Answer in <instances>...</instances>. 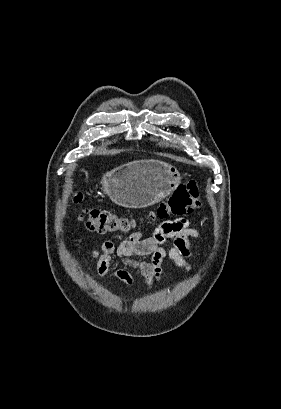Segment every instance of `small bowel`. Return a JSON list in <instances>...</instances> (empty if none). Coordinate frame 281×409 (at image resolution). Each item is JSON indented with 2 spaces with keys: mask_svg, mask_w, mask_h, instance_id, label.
I'll use <instances>...</instances> for the list:
<instances>
[{
  "mask_svg": "<svg viewBox=\"0 0 281 409\" xmlns=\"http://www.w3.org/2000/svg\"><path fill=\"white\" fill-rule=\"evenodd\" d=\"M198 235L188 219L179 218L162 222L148 237L138 231L106 240L99 250L93 251V256L97 259L96 272L106 280H118L132 286L134 278L127 269L110 272L112 256L116 255L126 268L141 274L150 290L161 278L165 259L181 268H190L187 261L191 254L190 238H196ZM136 256H149L150 260H138L134 258Z\"/></svg>",
  "mask_w": 281,
  "mask_h": 409,
  "instance_id": "c3829d8e",
  "label": "small bowel"
}]
</instances>
